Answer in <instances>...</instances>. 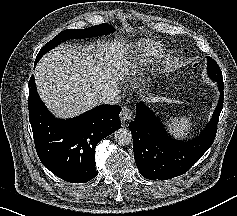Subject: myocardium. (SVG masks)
<instances>
[{
	"instance_id": "myocardium-1",
	"label": "myocardium",
	"mask_w": 237,
	"mask_h": 216,
	"mask_svg": "<svg viewBox=\"0 0 237 216\" xmlns=\"http://www.w3.org/2000/svg\"><path fill=\"white\" fill-rule=\"evenodd\" d=\"M181 53L176 48H171L167 50L160 62V65L157 70L153 71L157 77H169L176 72L180 63H181Z\"/></svg>"
}]
</instances>
